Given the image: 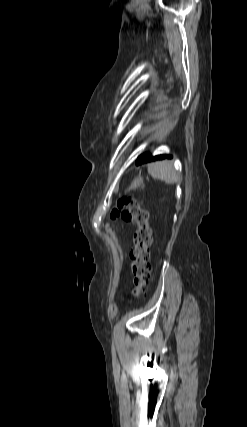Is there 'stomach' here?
I'll return each mask as SVG.
<instances>
[{"instance_id":"stomach-1","label":"stomach","mask_w":247,"mask_h":427,"mask_svg":"<svg viewBox=\"0 0 247 427\" xmlns=\"http://www.w3.org/2000/svg\"><path fill=\"white\" fill-rule=\"evenodd\" d=\"M143 184V179H142V177L141 176H138L137 178H135L134 180H133V182L131 183V185H130V187H129V190H132V189H136L137 187H139L140 185H142Z\"/></svg>"}]
</instances>
